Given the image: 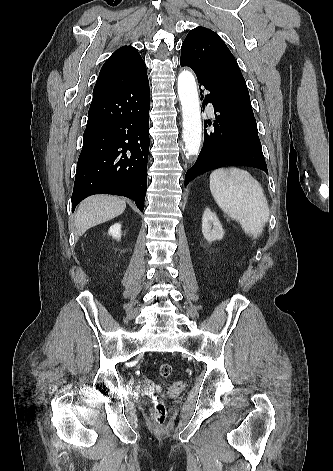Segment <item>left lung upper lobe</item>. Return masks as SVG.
<instances>
[{
	"mask_svg": "<svg viewBox=\"0 0 333 471\" xmlns=\"http://www.w3.org/2000/svg\"><path fill=\"white\" fill-rule=\"evenodd\" d=\"M180 61L214 83L225 99L247 119L256 123L246 81L225 42L212 30H191L181 47Z\"/></svg>",
	"mask_w": 333,
	"mask_h": 471,
	"instance_id": "1",
	"label": "left lung upper lobe"
}]
</instances>
